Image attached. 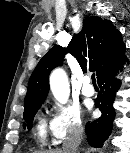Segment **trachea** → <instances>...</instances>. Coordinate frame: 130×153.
I'll list each match as a JSON object with an SVG mask.
<instances>
[{"instance_id":"1","label":"trachea","mask_w":130,"mask_h":153,"mask_svg":"<svg viewBox=\"0 0 130 153\" xmlns=\"http://www.w3.org/2000/svg\"><path fill=\"white\" fill-rule=\"evenodd\" d=\"M91 79H92V83L94 85H96V79H95V74L94 73L91 75Z\"/></svg>"}]
</instances>
